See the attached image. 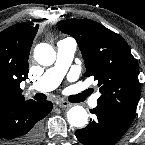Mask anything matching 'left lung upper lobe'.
<instances>
[{
  "label": "left lung upper lobe",
  "instance_id": "5c2ea615",
  "mask_svg": "<svg viewBox=\"0 0 145 145\" xmlns=\"http://www.w3.org/2000/svg\"><path fill=\"white\" fill-rule=\"evenodd\" d=\"M57 26L77 40L85 75L98 81V105L132 118L139 100L138 64L126 41L89 19L63 20Z\"/></svg>",
  "mask_w": 145,
  "mask_h": 145
}]
</instances>
